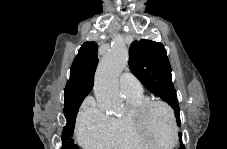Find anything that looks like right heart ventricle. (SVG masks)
<instances>
[{"label": "right heart ventricle", "instance_id": "e07e8e85", "mask_svg": "<svg viewBox=\"0 0 227 149\" xmlns=\"http://www.w3.org/2000/svg\"><path fill=\"white\" fill-rule=\"evenodd\" d=\"M124 96L129 110L125 115L112 118L108 146L116 149H149L148 145L138 137L131 122L133 109L147 98L143 93Z\"/></svg>", "mask_w": 227, "mask_h": 149}]
</instances>
